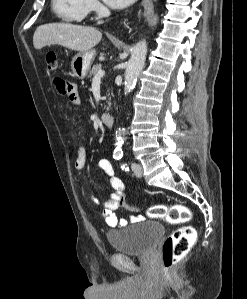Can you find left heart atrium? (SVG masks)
Listing matches in <instances>:
<instances>
[{"mask_svg":"<svg viewBox=\"0 0 247 299\" xmlns=\"http://www.w3.org/2000/svg\"><path fill=\"white\" fill-rule=\"evenodd\" d=\"M133 0H104L112 8H123L129 5Z\"/></svg>","mask_w":247,"mask_h":299,"instance_id":"1","label":"left heart atrium"}]
</instances>
